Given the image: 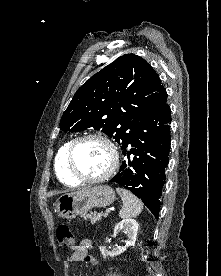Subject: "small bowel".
<instances>
[{"label":"small bowel","mask_w":221,"mask_h":276,"mask_svg":"<svg viewBox=\"0 0 221 276\" xmlns=\"http://www.w3.org/2000/svg\"><path fill=\"white\" fill-rule=\"evenodd\" d=\"M90 247H91L90 240L81 241L80 244L73 247V253L70 257V261L73 263L85 261L90 263L93 266L96 265L97 260L93 256L88 254V250Z\"/></svg>","instance_id":"obj_1"}]
</instances>
